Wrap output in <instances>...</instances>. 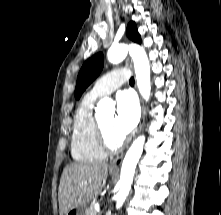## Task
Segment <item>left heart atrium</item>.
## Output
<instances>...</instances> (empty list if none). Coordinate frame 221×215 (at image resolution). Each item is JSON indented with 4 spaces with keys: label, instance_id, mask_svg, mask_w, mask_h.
Wrapping results in <instances>:
<instances>
[{
    "label": "left heart atrium",
    "instance_id": "obj_1",
    "mask_svg": "<svg viewBox=\"0 0 221 215\" xmlns=\"http://www.w3.org/2000/svg\"><path fill=\"white\" fill-rule=\"evenodd\" d=\"M116 103L113 131L118 137L124 138L139 121V106L136 97L129 91L119 93Z\"/></svg>",
    "mask_w": 221,
    "mask_h": 215
}]
</instances>
